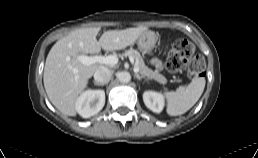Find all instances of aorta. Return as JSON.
Instances as JSON below:
<instances>
[{
  "label": "aorta",
  "mask_w": 258,
  "mask_h": 158,
  "mask_svg": "<svg viewBox=\"0 0 258 158\" xmlns=\"http://www.w3.org/2000/svg\"><path fill=\"white\" fill-rule=\"evenodd\" d=\"M118 79L121 83H128L131 80V75L127 71H122L118 74Z\"/></svg>",
  "instance_id": "obj_1"
}]
</instances>
